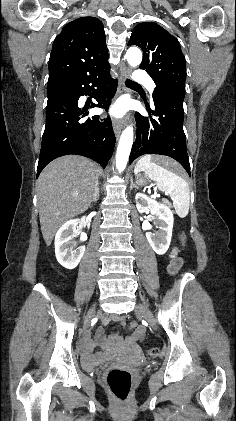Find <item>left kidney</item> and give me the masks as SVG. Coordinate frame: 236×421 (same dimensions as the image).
<instances>
[{"mask_svg": "<svg viewBox=\"0 0 236 421\" xmlns=\"http://www.w3.org/2000/svg\"><path fill=\"white\" fill-rule=\"evenodd\" d=\"M135 198L137 211L139 213H151V221L156 225V229H159L158 233H146L147 241L157 255H164L171 243L174 223L172 211L166 204L153 200L143 192H137Z\"/></svg>", "mask_w": 236, "mask_h": 421, "instance_id": "5707ae66", "label": "left kidney"}]
</instances>
